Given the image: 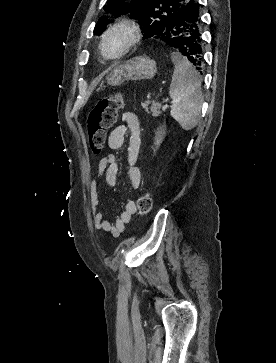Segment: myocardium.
Here are the masks:
<instances>
[{
    "mask_svg": "<svg viewBox=\"0 0 276 363\" xmlns=\"http://www.w3.org/2000/svg\"><path fill=\"white\" fill-rule=\"evenodd\" d=\"M116 34L124 36L125 41L122 48L115 54H109L106 44L110 37ZM141 39V30L137 23L130 19H121L113 23L101 37V53L106 60H118L135 47Z\"/></svg>",
    "mask_w": 276,
    "mask_h": 363,
    "instance_id": "myocardium-1",
    "label": "myocardium"
}]
</instances>
